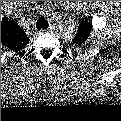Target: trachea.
Returning <instances> with one entry per match:
<instances>
[{
    "label": "trachea",
    "mask_w": 121,
    "mask_h": 121,
    "mask_svg": "<svg viewBox=\"0 0 121 121\" xmlns=\"http://www.w3.org/2000/svg\"><path fill=\"white\" fill-rule=\"evenodd\" d=\"M49 26L47 20L43 17L39 18L36 22L37 29H47Z\"/></svg>",
    "instance_id": "obj_1"
}]
</instances>
